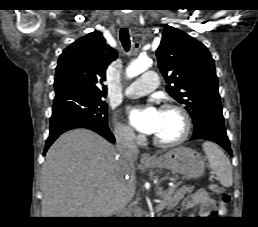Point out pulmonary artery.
<instances>
[{
  "mask_svg": "<svg viewBox=\"0 0 258 227\" xmlns=\"http://www.w3.org/2000/svg\"><path fill=\"white\" fill-rule=\"evenodd\" d=\"M158 85L157 74L153 71H148L141 78L135 80L126 89L125 94L128 97L137 98L149 94Z\"/></svg>",
  "mask_w": 258,
  "mask_h": 227,
  "instance_id": "1",
  "label": "pulmonary artery"
}]
</instances>
